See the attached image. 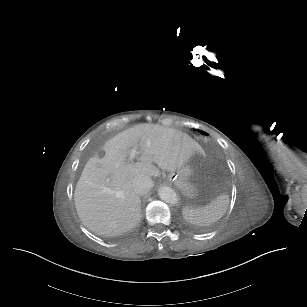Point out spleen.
Returning a JSON list of instances; mask_svg holds the SVG:
<instances>
[{
	"label": "spleen",
	"instance_id": "obj_1",
	"mask_svg": "<svg viewBox=\"0 0 307 307\" xmlns=\"http://www.w3.org/2000/svg\"><path fill=\"white\" fill-rule=\"evenodd\" d=\"M229 204V196L221 194L212 200L208 205L197 210L187 207L183 211L185 219L198 225H209L218 221L225 214Z\"/></svg>",
	"mask_w": 307,
	"mask_h": 307
}]
</instances>
